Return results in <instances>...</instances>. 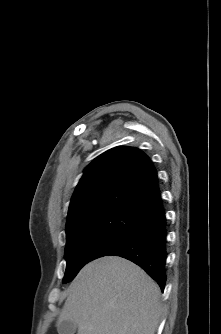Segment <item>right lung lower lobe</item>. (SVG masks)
Returning a JSON list of instances; mask_svg holds the SVG:
<instances>
[{"label": "right lung lower lobe", "instance_id": "1", "mask_svg": "<svg viewBox=\"0 0 221 334\" xmlns=\"http://www.w3.org/2000/svg\"><path fill=\"white\" fill-rule=\"evenodd\" d=\"M166 218L159 198L130 233L107 255H116L139 265L164 290L166 282Z\"/></svg>", "mask_w": 221, "mask_h": 334}]
</instances>
